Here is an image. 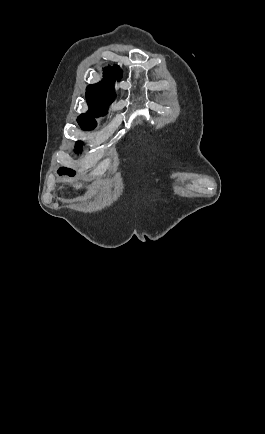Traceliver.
<instances>
[{
  "mask_svg": "<svg viewBox=\"0 0 265 434\" xmlns=\"http://www.w3.org/2000/svg\"><path fill=\"white\" fill-rule=\"evenodd\" d=\"M81 186H82V184H79V186H77V184H76L75 188H77V190H78V188H81Z\"/></svg>",
  "mask_w": 265,
  "mask_h": 434,
  "instance_id": "6515ba94",
  "label": "liver"
}]
</instances>
